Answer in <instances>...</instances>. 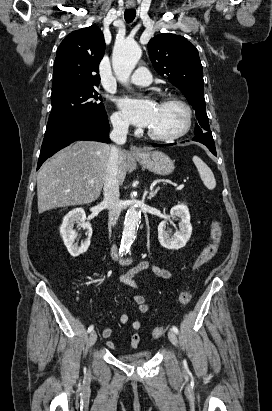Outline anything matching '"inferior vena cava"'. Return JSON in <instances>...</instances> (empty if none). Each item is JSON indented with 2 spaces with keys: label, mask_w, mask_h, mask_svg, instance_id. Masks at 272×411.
Returning a JSON list of instances; mask_svg holds the SVG:
<instances>
[{
  "label": "inferior vena cava",
  "mask_w": 272,
  "mask_h": 411,
  "mask_svg": "<svg viewBox=\"0 0 272 411\" xmlns=\"http://www.w3.org/2000/svg\"><path fill=\"white\" fill-rule=\"evenodd\" d=\"M111 123L113 130L110 133V138L114 142L111 146L110 157L108 160L106 176L104 181V204L107 206L109 213V229L114 227L120 216L122 205L119 199V146L125 144L129 124L120 117H112Z\"/></svg>",
  "instance_id": "1"
}]
</instances>
